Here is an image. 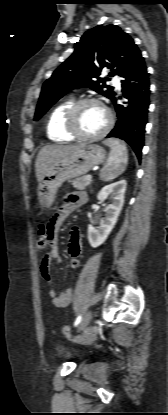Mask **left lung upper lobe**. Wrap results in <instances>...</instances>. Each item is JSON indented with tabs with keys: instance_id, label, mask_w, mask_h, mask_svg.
<instances>
[{
	"instance_id": "1",
	"label": "left lung upper lobe",
	"mask_w": 168,
	"mask_h": 415,
	"mask_svg": "<svg viewBox=\"0 0 168 415\" xmlns=\"http://www.w3.org/2000/svg\"><path fill=\"white\" fill-rule=\"evenodd\" d=\"M139 53L133 39L116 25L88 30L76 43L73 54L43 84L34 119L76 88H90L112 100L116 91L105 84L110 78H101V70L111 69L109 76L122 77Z\"/></svg>"
}]
</instances>
